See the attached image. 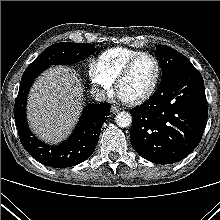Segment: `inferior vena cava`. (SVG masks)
Segmentation results:
<instances>
[{
	"instance_id": "602c4592",
	"label": "inferior vena cava",
	"mask_w": 220,
	"mask_h": 220,
	"mask_svg": "<svg viewBox=\"0 0 220 220\" xmlns=\"http://www.w3.org/2000/svg\"><path fill=\"white\" fill-rule=\"evenodd\" d=\"M91 93L96 101L102 102L106 100V93L104 90L94 88L92 89Z\"/></svg>"
}]
</instances>
